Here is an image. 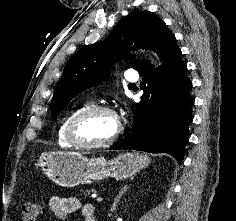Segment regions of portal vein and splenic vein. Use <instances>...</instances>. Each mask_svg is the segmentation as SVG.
Instances as JSON below:
<instances>
[{
  "mask_svg": "<svg viewBox=\"0 0 236 221\" xmlns=\"http://www.w3.org/2000/svg\"><path fill=\"white\" fill-rule=\"evenodd\" d=\"M102 200H103V199H102L101 197H97V198H96V201H97V202H102Z\"/></svg>",
  "mask_w": 236,
  "mask_h": 221,
  "instance_id": "1",
  "label": "portal vein and splenic vein"
}]
</instances>
